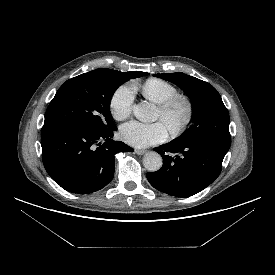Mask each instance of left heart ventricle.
Listing matches in <instances>:
<instances>
[{
  "label": "left heart ventricle",
  "instance_id": "left-heart-ventricle-1",
  "mask_svg": "<svg viewBox=\"0 0 275 275\" xmlns=\"http://www.w3.org/2000/svg\"><path fill=\"white\" fill-rule=\"evenodd\" d=\"M185 114L186 110L184 105L178 104L167 114H163L160 110H158L157 119L162 121L168 130H171L182 122Z\"/></svg>",
  "mask_w": 275,
  "mask_h": 275
}]
</instances>
